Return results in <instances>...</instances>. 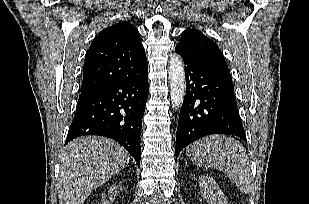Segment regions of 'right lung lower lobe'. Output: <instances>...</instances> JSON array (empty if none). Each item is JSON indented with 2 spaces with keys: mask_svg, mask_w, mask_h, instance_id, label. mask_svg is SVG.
Listing matches in <instances>:
<instances>
[{
  "mask_svg": "<svg viewBox=\"0 0 309 204\" xmlns=\"http://www.w3.org/2000/svg\"><path fill=\"white\" fill-rule=\"evenodd\" d=\"M148 90L147 67L141 73L81 95L65 144L79 136H105L121 144L140 165V134Z\"/></svg>",
  "mask_w": 309,
  "mask_h": 204,
  "instance_id": "98d812e1",
  "label": "right lung lower lobe"
}]
</instances>
